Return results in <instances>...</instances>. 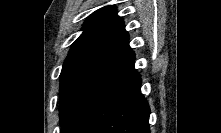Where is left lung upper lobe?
I'll return each instance as SVG.
<instances>
[{
	"label": "left lung upper lobe",
	"instance_id": "1",
	"mask_svg": "<svg viewBox=\"0 0 221 133\" xmlns=\"http://www.w3.org/2000/svg\"><path fill=\"white\" fill-rule=\"evenodd\" d=\"M129 35L113 6L92 13L72 44L60 74V122L80 93L100 74L129 54Z\"/></svg>",
	"mask_w": 221,
	"mask_h": 133
}]
</instances>
